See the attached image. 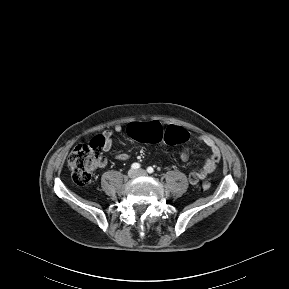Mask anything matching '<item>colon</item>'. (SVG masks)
I'll list each match as a JSON object with an SVG mask.
<instances>
[{
    "label": "colon",
    "instance_id": "5ec220e1",
    "mask_svg": "<svg viewBox=\"0 0 289 289\" xmlns=\"http://www.w3.org/2000/svg\"><path fill=\"white\" fill-rule=\"evenodd\" d=\"M131 138L140 142L156 143L164 140L169 144L182 143L188 139V132L177 127H168L162 121L133 122L128 127ZM105 141L102 136H97L89 143L77 145L68 157V167L72 173L75 184L84 186L91 181L92 172L102 162V152ZM202 189L208 190L211 182H202Z\"/></svg>",
    "mask_w": 289,
    "mask_h": 289
}]
</instances>
